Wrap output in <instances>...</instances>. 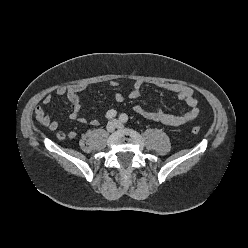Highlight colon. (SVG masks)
Listing matches in <instances>:
<instances>
[{
	"label": "colon",
	"instance_id": "obj_1",
	"mask_svg": "<svg viewBox=\"0 0 248 248\" xmlns=\"http://www.w3.org/2000/svg\"><path fill=\"white\" fill-rule=\"evenodd\" d=\"M191 131L193 134H198L200 132V127L199 126H193Z\"/></svg>",
	"mask_w": 248,
	"mask_h": 248
}]
</instances>
